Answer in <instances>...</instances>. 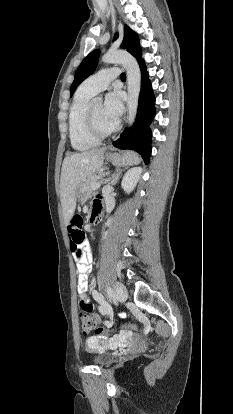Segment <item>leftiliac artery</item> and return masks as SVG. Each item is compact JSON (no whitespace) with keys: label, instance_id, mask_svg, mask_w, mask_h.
Segmentation results:
<instances>
[{"label":"left iliac artery","instance_id":"1","mask_svg":"<svg viewBox=\"0 0 233 414\" xmlns=\"http://www.w3.org/2000/svg\"><path fill=\"white\" fill-rule=\"evenodd\" d=\"M107 295H108V298L111 300L113 295H114L113 290L111 289V287H107Z\"/></svg>","mask_w":233,"mask_h":414}]
</instances>
